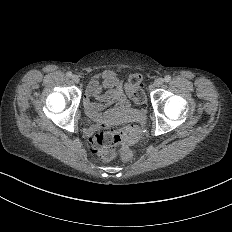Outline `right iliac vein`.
I'll return each mask as SVG.
<instances>
[{"mask_svg": "<svg viewBox=\"0 0 232 232\" xmlns=\"http://www.w3.org/2000/svg\"><path fill=\"white\" fill-rule=\"evenodd\" d=\"M80 81V78L77 76V75H74L73 77H72V82L73 83H78Z\"/></svg>", "mask_w": 232, "mask_h": 232, "instance_id": "1", "label": "right iliac vein"}]
</instances>
